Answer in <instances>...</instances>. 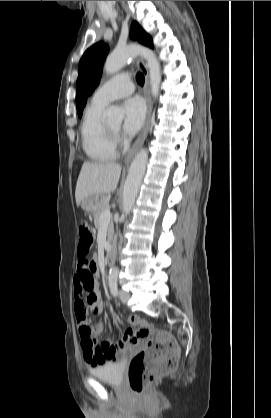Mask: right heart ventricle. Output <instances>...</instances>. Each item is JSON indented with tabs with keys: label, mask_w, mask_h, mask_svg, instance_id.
Here are the masks:
<instances>
[{
	"label": "right heart ventricle",
	"mask_w": 271,
	"mask_h": 418,
	"mask_svg": "<svg viewBox=\"0 0 271 418\" xmlns=\"http://www.w3.org/2000/svg\"><path fill=\"white\" fill-rule=\"evenodd\" d=\"M106 105L91 102L87 107L81 124L82 147L87 157L95 162L116 159L115 141L107 134L102 116Z\"/></svg>",
	"instance_id": "e07e8e85"
}]
</instances>
